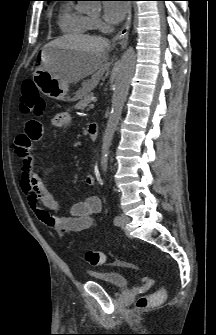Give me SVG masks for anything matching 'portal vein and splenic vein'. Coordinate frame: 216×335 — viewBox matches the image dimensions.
Returning <instances> with one entry per match:
<instances>
[{"label":"portal vein and splenic vein","mask_w":216,"mask_h":335,"mask_svg":"<svg viewBox=\"0 0 216 335\" xmlns=\"http://www.w3.org/2000/svg\"><path fill=\"white\" fill-rule=\"evenodd\" d=\"M89 107H90L91 109H92V108H94V104H90V106H89Z\"/></svg>","instance_id":"obj_1"}]
</instances>
